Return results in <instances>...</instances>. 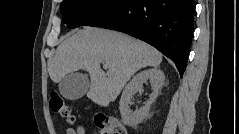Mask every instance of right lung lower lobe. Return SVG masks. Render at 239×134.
Returning a JSON list of instances; mask_svg holds the SVG:
<instances>
[{
    "mask_svg": "<svg viewBox=\"0 0 239 134\" xmlns=\"http://www.w3.org/2000/svg\"><path fill=\"white\" fill-rule=\"evenodd\" d=\"M194 0H116L85 26L127 33L170 58L182 77L194 29Z\"/></svg>",
    "mask_w": 239,
    "mask_h": 134,
    "instance_id": "obj_1",
    "label": "right lung lower lobe"
}]
</instances>
